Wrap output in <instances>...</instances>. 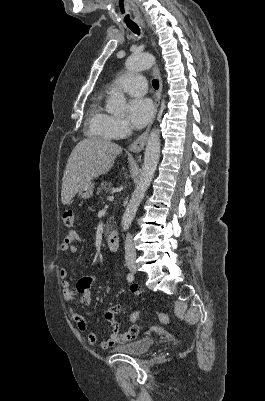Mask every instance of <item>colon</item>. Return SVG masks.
<instances>
[{"instance_id":"5ec220e1","label":"colon","mask_w":265,"mask_h":401,"mask_svg":"<svg viewBox=\"0 0 265 401\" xmlns=\"http://www.w3.org/2000/svg\"><path fill=\"white\" fill-rule=\"evenodd\" d=\"M63 223L68 228H71L74 226L75 216L72 211H66L63 214ZM141 314H142V311H135L130 315V321L133 323V326L126 332L127 336L130 339L136 338V336L138 334V331H139L138 326L135 325L134 323L140 317ZM157 318L161 323H167V321H168L167 315L164 313H161V312L157 313Z\"/></svg>"}]
</instances>
